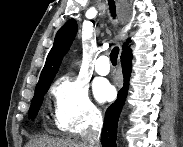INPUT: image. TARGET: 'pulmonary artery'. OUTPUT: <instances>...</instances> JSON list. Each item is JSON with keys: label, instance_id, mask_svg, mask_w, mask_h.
<instances>
[{"label": "pulmonary artery", "instance_id": "pulmonary-artery-1", "mask_svg": "<svg viewBox=\"0 0 183 147\" xmlns=\"http://www.w3.org/2000/svg\"><path fill=\"white\" fill-rule=\"evenodd\" d=\"M95 71L99 75H107L110 72L109 58L101 55L95 63Z\"/></svg>", "mask_w": 183, "mask_h": 147}]
</instances>
